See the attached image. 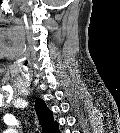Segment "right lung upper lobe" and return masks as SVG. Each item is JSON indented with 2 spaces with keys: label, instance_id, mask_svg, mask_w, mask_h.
<instances>
[{
  "label": "right lung upper lobe",
  "instance_id": "obj_1",
  "mask_svg": "<svg viewBox=\"0 0 120 133\" xmlns=\"http://www.w3.org/2000/svg\"><path fill=\"white\" fill-rule=\"evenodd\" d=\"M36 113L44 133H57L58 124L53 122V114L42 99L36 100Z\"/></svg>",
  "mask_w": 120,
  "mask_h": 133
}]
</instances>
